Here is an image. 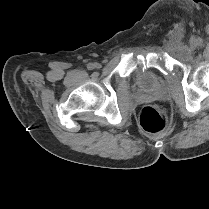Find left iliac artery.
Segmentation results:
<instances>
[{
  "label": "left iliac artery",
  "instance_id": "44dca946",
  "mask_svg": "<svg viewBox=\"0 0 209 209\" xmlns=\"http://www.w3.org/2000/svg\"><path fill=\"white\" fill-rule=\"evenodd\" d=\"M201 43V39H197V44L199 45Z\"/></svg>",
  "mask_w": 209,
  "mask_h": 209
}]
</instances>
